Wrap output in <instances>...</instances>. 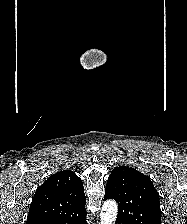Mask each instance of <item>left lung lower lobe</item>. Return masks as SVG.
Here are the masks:
<instances>
[{
  "mask_svg": "<svg viewBox=\"0 0 187 224\" xmlns=\"http://www.w3.org/2000/svg\"><path fill=\"white\" fill-rule=\"evenodd\" d=\"M115 224H120L118 221H116V223Z\"/></svg>",
  "mask_w": 187,
  "mask_h": 224,
  "instance_id": "left-lung-lower-lobe-1",
  "label": "left lung lower lobe"
}]
</instances>
